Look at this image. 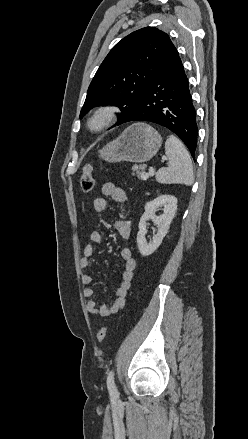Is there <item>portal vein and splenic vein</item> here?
Returning <instances> with one entry per match:
<instances>
[{
  "mask_svg": "<svg viewBox=\"0 0 248 439\" xmlns=\"http://www.w3.org/2000/svg\"><path fill=\"white\" fill-rule=\"evenodd\" d=\"M154 173H155L154 168L153 167H149V173L143 174L142 179L143 180H147L149 175H154Z\"/></svg>",
  "mask_w": 248,
  "mask_h": 439,
  "instance_id": "1",
  "label": "portal vein and splenic vein"
}]
</instances>
